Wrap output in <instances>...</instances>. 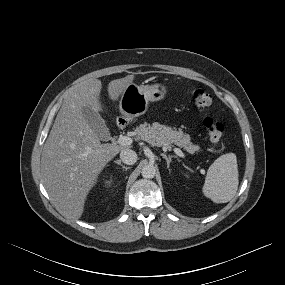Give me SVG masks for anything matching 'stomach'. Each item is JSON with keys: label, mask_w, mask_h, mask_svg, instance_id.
<instances>
[{"label": "stomach", "mask_w": 285, "mask_h": 285, "mask_svg": "<svg viewBox=\"0 0 285 285\" xmlns=\"http://www.w3.org/2000/svg\"><path fill=\"white\" fill-rule=\"evenodd\" d=\"M167 89L162 84H154L150 86H138L130 83L123 91L119 108L126 121L132 120L143 115L149 101H160L165 98Z\"/></svg>", "instance_id": "obj_1"}]
</instances>
